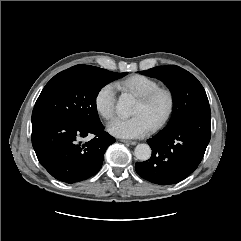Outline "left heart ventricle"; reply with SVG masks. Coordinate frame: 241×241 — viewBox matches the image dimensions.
I'll list each match as a JSON object with an SVG mask.
<instances>
[{"mask_svg":"<svg viewBox=\"0 0 241 241\" xmlns=\"http://www.w3.org/2000/svg\"><path fill=\"white\" fill-rule=\"evenodd\" d=\"M166 109V100L160 97L149 105H143L137 100L133 109V114H143L153 126L154 123L162 116Z\"/></svg>","mask_w":241,"mask_h":241,"instance_id":"1","label":"left heart ventricle"}]
</instances>
